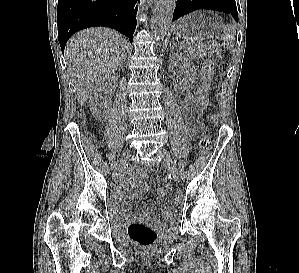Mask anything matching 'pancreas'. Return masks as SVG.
<instances>
[{"mask_svg": "<svg viewBox=\"0 0 299 273\" xmlns=\"http://www.w3.org/2000/svg\"><path fill=\"white\" fill-rule=\"evenodd\" d=\"M180 49L192 59L202 56L191 44L189 43H181L179 45Z\"/></svg>", "mask_w": 299, "mask_h": 273, "instance_id": "pancreas-1", "label": "pancreas"}]
</instances>
